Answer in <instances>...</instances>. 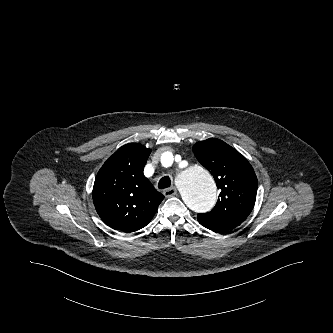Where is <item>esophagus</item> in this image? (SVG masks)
Instances as JSON below:
<instances>
[{
  "label": "esophagus",
  "instance_id": "34e87169",
  "mask_svg": "<svg viewBox=\"0 0 333 333\" xmlns=\"http://www.w3.org/2000/svg\"><path fill=\"white\" fill-rule=\"evenodd\" d=\"M163 193L166 198H170L177 195V189L176 187H170L165 189Z\"/></svg>",
  "mask_w": 333,
  "mask_h": 333
}]
</instances>
